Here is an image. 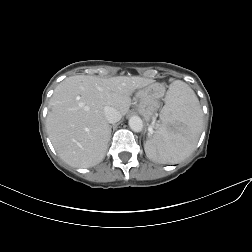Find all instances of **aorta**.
<instances>
[{"label":"aorta","mask_w":252,"mask_h":252,"mask_svg":"<svg viewBox=\"0 0 252 252\" xmlns=\"http://www.w3.org/2000/svg\"><path fill=\"white\" fill-rule=\"evenodd\" d=\"M129 127L131 128L132 131L134 132H140L143 129V122L140 117L138 116H132L129 119Z\"/></svg>","instance_id":"1"}]
</instances>
